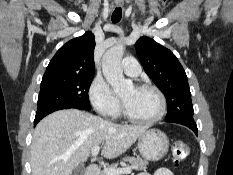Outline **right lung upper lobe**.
Here are the masks:
<instances>
[{"label": "right lung upper lobe", "mask_w": 233, "mask_h": 175, "mask_svg": "<svg viewBox=\"0 0 233 175\" xmlns=\"http://www.w3.org/2000/svg\"><path fill=\"white\" fill-rule=\"evenodd\" d=\"M95 38L91 32L64 44L50 61L43 78L94 75Z\"/></svg>", "instance_id": "cb5924a9"}]
</instances>
